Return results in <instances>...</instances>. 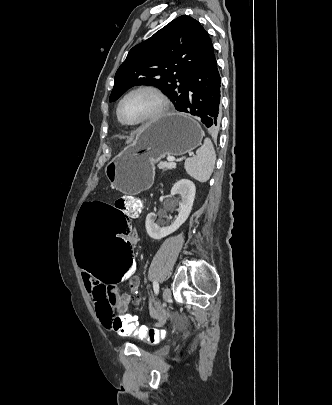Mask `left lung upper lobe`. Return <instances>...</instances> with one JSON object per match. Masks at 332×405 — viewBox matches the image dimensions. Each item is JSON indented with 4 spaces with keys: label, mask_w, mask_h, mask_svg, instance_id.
<instances>
[{
    "label": "left lung upper lobe",
    "mask_w": 332,
    "mask_h": 405,
    "mask_svg": "<svg viewBox=\"0 0 332 405\" xmlns=\"http://www.w3.org/2000/svg\"><path fill=\"white\" fill-rule=\"evenodd\" d=\"M212 41L192 17L182 15L134 46L118 68L109 101L135 85H154L176 106L185 95L191 74L206 58Z\"/></svg>",
    "instance_id": "5c2ea615"
}]
</instances>
